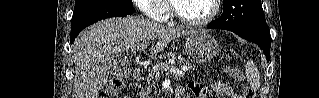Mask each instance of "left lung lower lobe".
<instances>
[{
	"instance_id": "0a47b994",
	"label": "left lung lower lobe",
	"mask_w": 319,
	"mask_h": 98,
	"mask_svg": "<svg viewBox=\"0 0 319 98\" xmlns=\"http://www.w3.org/2000/svg\"><path fill=\"white\" fill-rule=\"evenodd\" d=\"M207 28H216L214 25L209 24ZM219 29V28H216ZM236 33L238 36L249 40L257 44L266 55L267 61L270 60V47H271V35L269 30L257 29V30H233L225 29Z\"/></svg>"
}]
</instances>
